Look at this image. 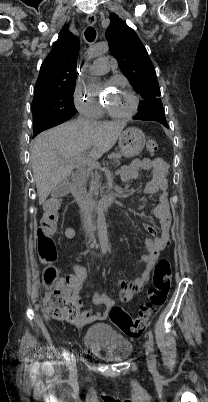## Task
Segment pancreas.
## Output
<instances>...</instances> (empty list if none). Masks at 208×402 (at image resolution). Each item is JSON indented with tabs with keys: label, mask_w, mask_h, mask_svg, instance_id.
<instances>
[{
	"label": "pancreas",
	"mask_w": 208,
	"mask_h": 402,
	"mask_svg": "<svg viewBox=\"0 0 208 402\" xmlns=\"http://www.w3.org/2000/svg\"><path fill=\"white\" fill-rule=\"evenodd\" d=\"M109 160H113L116 162L117 166H120L119 160L122 158V154H110L108 156ZM86 174V178H89V192L92 194V196H103L104 194V188H107V186H101L100 178H102L101 174H98V172H92V170H88V172H84ZM85 188H82L81 192L79 194H84Z\"/></svg>",
	"instance_id": "pancreas-1"
}]
</instances>
